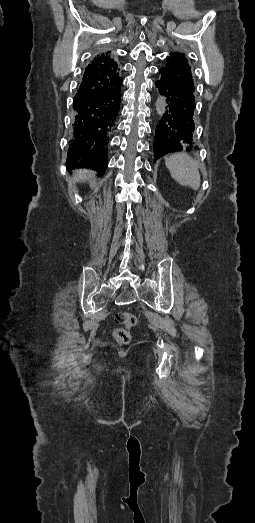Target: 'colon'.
<instances>
[{
	"mask_svg": "<svg viewBox=\"0 0 255 523\" xmlns=\"http://www.w3.org/2000/svg\"><path fill=\"white\" fill-rule=\"evenodd\" d=\"M116 322L120 327L114 330L115 340L122 345L128 344L131 341V329L137 325V317L125 311L116 316Z\"/></svg>",
	"mask_w": 255,
	"mask_h": 523,
	"instance_id": "obj_1",
	"label": "colon"
}]
</instances>
